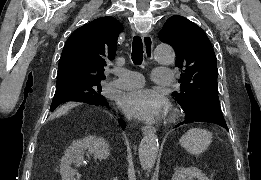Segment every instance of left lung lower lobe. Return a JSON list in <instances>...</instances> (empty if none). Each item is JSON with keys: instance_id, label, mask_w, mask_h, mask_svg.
Segmentation results:
<instances>
[{"instance_id": "0a47b994", "label": "left lung lower lobe", "mask_w": 261, "mask_h": 180, "mask_svg": "<svg viewBox=\"0 0 261 180\" xmlns=\"http://www.w3.org/2000/svg\"><path fill=\"white\" fill-rule=\"evenodd\" d=\"M184 112H185L184 121L178 123L176 125V127L180 126L181 124H187V123H193V122H208V123L217 124L228 130V127H227L225 119L222 115V112H218L213 109H201L198 112H190V111L184 110Z\"/></svg>"}]
</instances>
